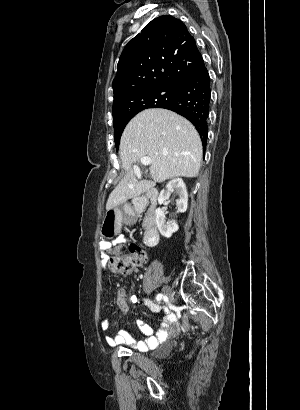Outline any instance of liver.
Listing matches in <instances>:
<instances>
[{
  "label": "liver",
  "mask_w": 300,
  "mask_h": 410,
  "mask_svg": "<svg viewBox=\"0 0 300 410\" xmlns=\"http://www.w3.org/2000/svg\"><path fill=\"white\" fill-rule=\"evenodd\" d=\"M202 143L195 127L184 117L166 109H147L126 126L119 153L124 178L106 203L110 210L149 191L156 183L175 177H196L202 162ZM149 157L152 181L140 180L133 164Z\"/></svg>",
  "instance_id": "liver-1"
}]
</instances>
